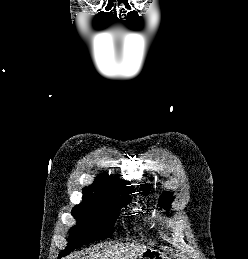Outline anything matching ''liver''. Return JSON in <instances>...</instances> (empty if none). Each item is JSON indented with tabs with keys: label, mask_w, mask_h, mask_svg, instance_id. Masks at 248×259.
Returning a JSON list of instances; mask_svg holds the SVG:
<instances>
[{
	"label": "liver",
	"mask_w": 248,
	"mask_h": 259,
	"mask_svg": "<svg viewBox=\"0 0 248 259\" xmlns=\"http://www.w3.org/2000/svg\"><path fill=\"white\" fill-rule=\"evenodd\" d=\"M147 249L148 247L140 244L121 243L112 246L110 245L102 250H92L88 255H75L68 259H134Z\"/></svg>",
	"instance_id": "obj_1"
}]
</instances>
